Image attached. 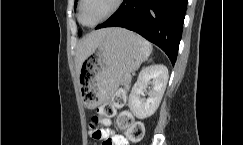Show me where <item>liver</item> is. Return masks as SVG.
<instances>
[{
    "instance_id": "obj_1",
    "label": "liver",
    "mask_w": 243,
    "mask_h": 145,
    "mask_svg": "<svg viewBox=\"0 0 243 145\" xmlns=\"http://www.w3.org/2000/svg\"><path fill=\"white\" fill-rule=\"evenodd\" d=\"M111 30L110 28H106L92 31L79 41L75 53L77 72L80 71L82 63L95 51Z\"/></svg>"
}]
</instances>
